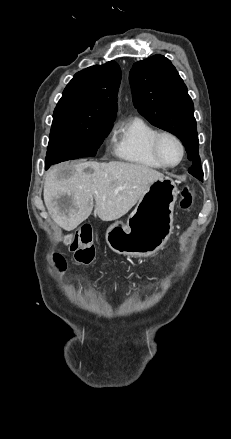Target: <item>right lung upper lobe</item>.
<instances>
[{"label": "right lung upper lobe", "mask_w": 231, "mask_h": 439, "mask_svg": "<svg viewBox=\"0 0 231 439\" xmlns=\"http://www.w3.org/2000/svg\"><path fill=\"white\" fill-rule=\"evenodd\" d=\"M120 80L121 70L114 61L78 72L63 91L53 118L86 116L114 121Z\"/></svg>", "instance_id": "obj_1"}]
</instances>
